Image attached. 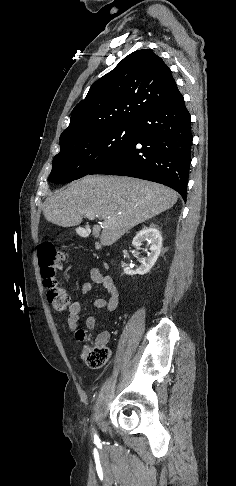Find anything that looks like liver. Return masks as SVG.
<instances>
[{"label":"liver","mask_w":236,"mask_h":486,"mask_svg":"<svg viewBox=\"0 0 236 486\" xmlns=\"http://www.w3.org/2000/svg\"><path fill=\"white\" fill-rule=\"evenodd\" d=\"M177 199L175 191L158 183L98 175L55 192L42 209L47 221L61 227L79 225L87 212L98 215L103 223L93 226V236L109 246L136 225L173 207Z\"/></svg>","instance_id":"obj_1"}]
</instances>
